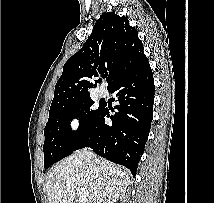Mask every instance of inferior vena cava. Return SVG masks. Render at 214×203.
Segmentation results:
<instances>
[{
	"label": "inferior vena cava",
	"instance_id": "1",
	"mask_svg": "<svg viewBox=\"0 0 214 203\" xmlns=\"http://www.w3.org/2000/svg\"><path fill=\"white\" fill-rule=\"evenodd\" d=\"M87 155H88L89 159H91V161H92L95 165H97V164L99 163L98 158H96V156H95V154H94L93 152L87 151Z\"/></svg>",
	"mask_w": 214,
	"mask_h": 203
}]
</instances>
